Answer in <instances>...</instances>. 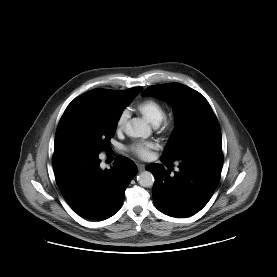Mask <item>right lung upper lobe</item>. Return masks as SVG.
Returning a JSON list of instances; mask_svg holds the SVG:
<instances>
[{
	"mask_svg": "<svg viewBox=\"0 0 277 277\" xmlns=\"http://www.w3.org/2000/svg\"><path fill=\"white\" fill-rule=\"evenodd\" d=\"M135 89L140 91L142 88L141 87H135V88H132V89H129V90H126V91H113V90H105V91L110 93V94H121V93L130 92V91L135 90ZM102 90H104V89H102ZM60 149H64V148L59 146L58 144H55L54 151H57V150H60Z\"/></svg>",
	"mask_w": 277,
	"mask_h": 277,
	"instance_id": "1",
	"label": "right lung upper lobe"
}]
</instances>
